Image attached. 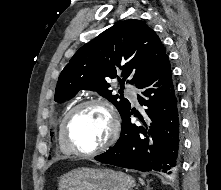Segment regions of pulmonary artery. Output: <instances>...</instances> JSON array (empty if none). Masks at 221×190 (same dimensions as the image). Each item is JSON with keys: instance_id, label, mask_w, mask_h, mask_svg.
Listing matches in <instances>:
<instances>
[{"instance_id": "1", "label": "pulmonary artery", "mask_w": 221, "mask_h": 190, "mask_svg": "<svg viewBox=\"0 0 221 190\" xmlns=\"http://www.w3.org/2000/svg\"><path fill=\"white\" fill-rule=\"evenodd\" d=\"M129 95L133 101H137V95L135 92H129Z\"/></svg>"}]
</instances>
